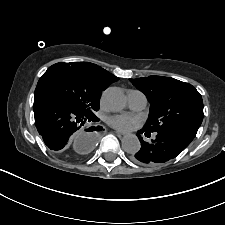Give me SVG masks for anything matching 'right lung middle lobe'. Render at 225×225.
Instances as JSON below:
<instances>
[{
    "instance_id": "1",
    "label": "right lung middle lobe",
    "mask_w": 225,
    "mask_h": 225,
    "mask_svg": "<svg viewBox=\"0 0 225 225\" xmlns=\"http://www.w3.org/2000/svg\"><path fill=\"white\" fill-rule=\"evenodd\" d=\"M37 88H45L66 100L81 113L96 117L102 89L72 63H56L38 81Z\"/></svg>"
}]
</instances>
